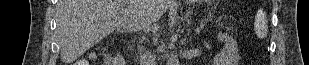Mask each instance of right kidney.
Returning <instances> with one entry per match:
<instances>
[{
    "mask_svg": "<svg viewBox=\"0 0 309 65\" xmlns=\"http://www.w3.org/2000/svg\"><path fill=\"white\" fill-rule=\"evenodd\" d=\"M110 64L111 65H124L125 60L120 54H117L116 57L112 58Z\"/></svg>",
    "mask_w": 309,
    "mask_h": 65,
    "instance_id": "obj_1",
    "label": "right kidney"
}]
</instances>
